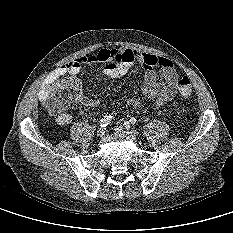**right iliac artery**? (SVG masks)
Segmentation results:
<instances>
[{
  "label": "right iliac artery",
  "mask_w": 233,
  "mask_h": 233,
  "mask_svg": "<svg viewBox=\"0 0 233 233\" xmlns=\"http://www.w3.org/2000/svg\"><path fill=\"white\" fill-rule=\"evenodd\" d=\"M112 121V116L108 115L105 116L103 119H101L100 121V126L101 127H106L107 125H109Z\"/></svg>",
  "instance_id": "82829eb1"
}]
</instances>
